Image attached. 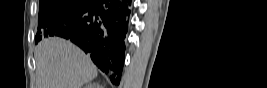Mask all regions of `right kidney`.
Wrapping results in <instances>:
<instances>
[{
	"mask_svg": "<svg viewBox=\"0 0 267 88\" xmlns=\"http://www.w3.org/2000/svg\"><path fill=\"white\" fill-rule=\"evenodd\" d=\"M85 88H103L98 82L87 83Z\"/></svg>",
	"mask_w": 267,
	"mask_h": 88,
	"instance_id": "right-kidney-1",
	"label": "right kidney"
}]
</instances>
